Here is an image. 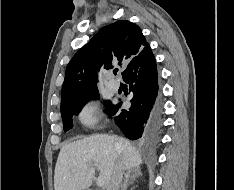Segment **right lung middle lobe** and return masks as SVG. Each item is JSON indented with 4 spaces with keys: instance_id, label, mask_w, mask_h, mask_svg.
Here are the masks:
<instances>
[{
    "instance_id": "dd1d6c3e",
    "label": "right lung middle lobe",
    "mask_w": 234,
    "mask_h": 190,
    "mask_svg": "<svg viewBox=\"0 0 234 190\" xmlns=\"http://www.w3.org/2000/svg\"><path fill=\"white\" fill-rule=\"evenodd\" d=\"M92 96L97 97L98 90L85 93L76 99L61 104V116L63 117V125L65 132L72 128V116L77 115L82 109V107L85 105V103ZM107 106L108 112H110L114 107V105H111V102H108Z\"/></svg>"
}]
</instances>
